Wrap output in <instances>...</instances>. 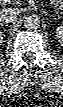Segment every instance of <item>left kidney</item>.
<instances>
[{"label": "left kidney", "mask_w": 63, "mask_h": 107, "mask_svg": "<svg viewBox=\"0 0 63 107\" xmlns=\"http://www.w3.org/2000/svg\"><path fill=\"white\" fill-rule=\"evenodd\" d=\"M56 37L61 45H63V27L60 26L56 29Z\"/></svg>", "instance_id": "5707ae66"}]
</instances>
